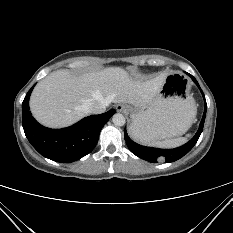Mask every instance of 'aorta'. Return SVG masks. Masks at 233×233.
<instances>
[{"instance_id":"obj_1","label":"aorta","mask_w":233,"mask_h":233,"mask_svg":"<svg viewBox=\"0 0 233 233\" xmlns=\"http://www.w3.org/2000/svg\"><path fill=\"white\" fill-rule=\"evenodd\" d=\"M112 121L115 126H123L125 124V117L120 113H116L113 115Z\"/></svg>"}]
</instances>
